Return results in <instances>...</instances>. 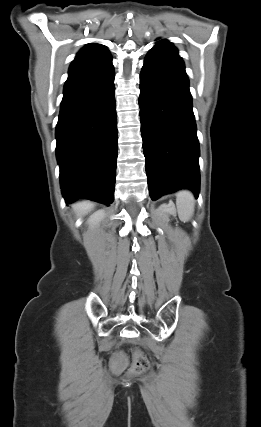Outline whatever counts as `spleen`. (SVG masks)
<instances>
[{"label":"spleen","mask_w":261,"mask_h":427,"mask_svg":"<svg viewBox=\"0 0 261 427\" xmlns=\"http://www.w3.org/2000/svg\"><path fill=\"white\" fill-rule=\"evenodd\" d=\"M176 206L179 219L188 222L194 214L195 199L188 190H181L176 195Z\"/></svg>","instance_id":"1"}]
</instances>
